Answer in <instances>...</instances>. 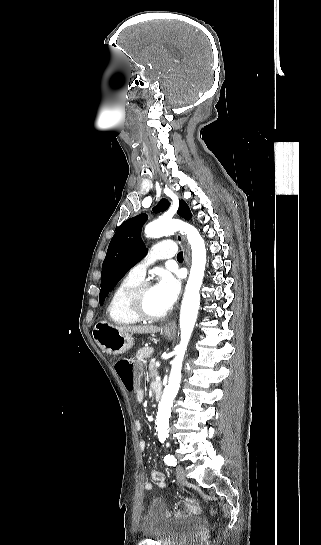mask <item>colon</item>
Segmentation results:
<instances>
[{
	"label": "colon",
	"mask_w": 321,
	"mask_h": 545,
	"mask_svg": "<svg viewBox=\"0 0 321 545\" xmlns=\"http://www.w3.org/2000/svg\"><path fill=\"white\" fill-rule=\"evenodd\" d=\"M115 371L128 391H134L136 389V370L130 361L126 359L118 360L115 363ZM175 510L180 515H186L189 513H198L200 508L196 502L189 500L179 503L175 507Z\"/></svg>",
	"instance_id": "obj_1"
}]
</instances>
